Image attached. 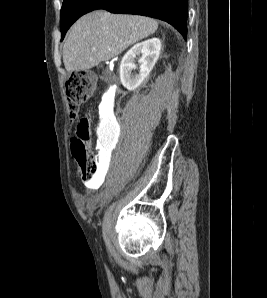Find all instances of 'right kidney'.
<instances>
[{"label": "right kidney", "mask_w": 267, "mask_h": 298, "mask_svg": "<svg viewBox=\"0 0 267 298\" xmlns=\"http://www.w3.org/2000/svg\"><path fill=\"white\" fill-rule=\"evenodd\" d=\"M161 41L158 38H151L135 44L122 58L120 64V80L122 85L129 91L135 90L149 75L159 58ZM136 56H139V74L132 76V70L136 68L134 63Z\"/></svg>", "instance_id": "ca27d5eb"}]
</instances>
